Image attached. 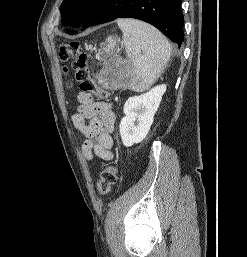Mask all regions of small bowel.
I'll return each mask as SVG.
<instances>
[{
    "label": "small bowel",
    "mask_w": 247,
    "mask_h": 257,
    "mask_svg": "<svg viewBox=\"0 0 247 257\" xmlns=\"http://www.w3.org/2000/svg\"><path fill=\"white\" fill-rule=\"evenodd\" d=\"M79 107L72 120L77 129L85 136L82 154L87 160L97 156L104 160L113 157L112 132L115 124V113L110 103L95 101L86 92L78 95Z\"/></svg>",
    "instance_id": "1"
}]
</instances>
